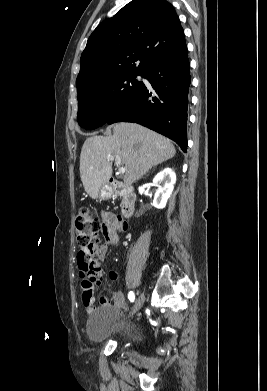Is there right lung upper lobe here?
Wrapping results in <instances>:
<instances>
[{
	"instance_id": "obj_1",
	"label": "right lung upper lobe",
	"mask_w": 267,
	"mask_h": 391,
	"mask_svg": "<svg viewBox=\"0 0 267 391\" xmlns=\"http://www.w3.org/2000/svg\"><path fill=\"white\" fill-rule=\"evenodd\" d=\"M185 45L184 32L166 0H132L103 21L88 39L76 80L80 93L93 81L124 71H140Z\"/></svg>"
}]
</instances>
